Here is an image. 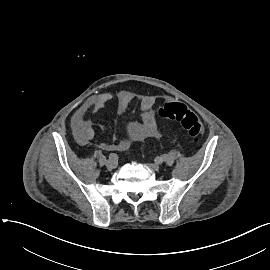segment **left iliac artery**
<instances>
[{"instance_id": "44dca946", "label": "left iliac artery", "mask_w": 270, "mask_h": 270, "mask_svg": "<svg viewBox=\"0 0 270 270\" xmlns=\"http://www.w3.org/2000/svg\"><path fill=\"white\" fill-rule=\"evenodd\" d=\"M171 160V158L167 155V154H164V155H162L161 157H157L156 159H155V161L157 162V163H162V162H164V161H170Z\"/></svg>"}]
</instances>
